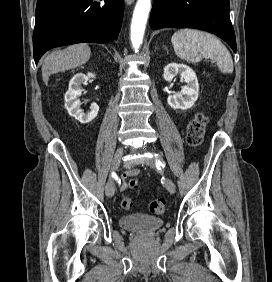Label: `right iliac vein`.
<instances>
[{
	"label": "right iliac vein",
	"mask_w": 272,
	"mask_h": 282,
	"mask_svg": "<svg viewBox=\"0 0 272 282\" xmlns=\"http://www.w3.org/2000/svg\"><path fill=\"white\" fill-rule=\"evenodd\" d=\"M124 154V148L122 146H120L113 157L112 160V171H116L118 169V167L120 166L122 157ZM105 193L107 197H113L114 193H115V184H114V180L112 177L109 178L108 183L106 185V189H105Z\"/></svg>",
	"instance_id": "63e3f726"
}]
</instances>
